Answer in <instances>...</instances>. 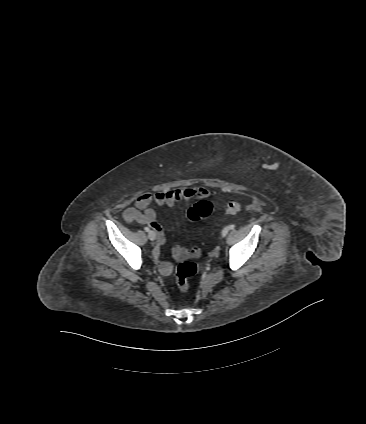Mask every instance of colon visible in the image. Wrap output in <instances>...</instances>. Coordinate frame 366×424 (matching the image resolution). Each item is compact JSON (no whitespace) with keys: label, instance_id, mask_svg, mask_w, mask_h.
<instances>
[{"label":"colon","instance_id":"colon-1","mask_svg":"<svg viewBox=\"0 0 366 424\" xmlns=\"http://www.w3.org/2000/svg\"><path fill=\"white\" fill-rule=\"evenodd\" d=\"M241 209L239 201L229 202L225 207L226 214H235ZM213 210V205L208 200H201L190 206L187 210V217L191 221H198L208 217ZM198 254L197 249L191 251L192 256ZM197 272V265L193 261L185 260L176 267V283L179 290L183 293L189 290V279Z\"/></svg>","mask_w":366,"mask_h":424}]
</instances>
